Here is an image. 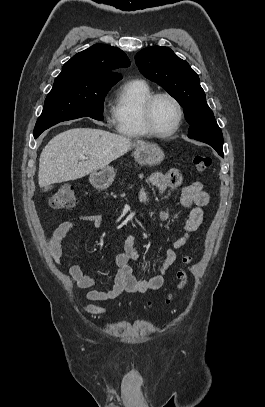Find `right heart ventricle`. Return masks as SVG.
I'll return each mask as SVG.
<instances>
[{"instance_id":"1","label":"right heart ventricle","mask_w":265,"mask_h":407,"mask_svg":"<svg viewBox=\"0 0 265 407\" xmlns=\"http://www.w3.org/2000/svg\"><path fill=\"white\" fill-rule=\"evenodd\" d=\"M153 94L150 85L142 79L130 80L116 95L112 119L116 131L128 138H145L150 133L142 120V107Z\"/></svg>"}]
</instances>
